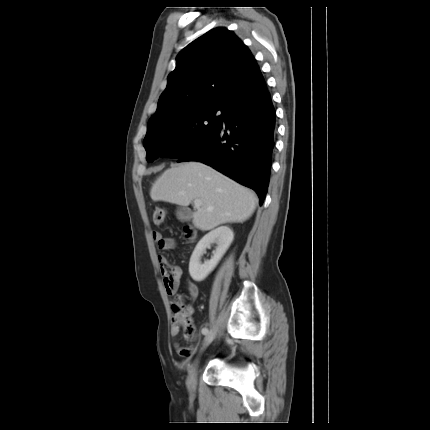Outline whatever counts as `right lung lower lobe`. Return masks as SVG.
I'll return each instance as SVG.
<instances>
[{
    "label": "right lung lower lobe",
    "mask_w": 430,
    "mask_h": 430,
    "mask_svg": "<svg viewBox=\"0 0 430 430\" xmlns=\"http://www.w3.org/2000/svg\"><path fill=\"white\" fill-rule=\"evenodd\" d=\"M224 125L178 162L200 161L252 188L263 204L275 146L276 112L264 78L221 106Z\"/></svg>",
    "instance_id": "98d812e1"
}]
</instances>
